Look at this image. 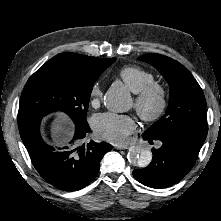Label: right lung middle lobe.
Segmentation results:
<instances>
[{"mask_svg":"<svg viewBox=\"0 0 221 221\" xmlns=\"http://www.w3.org/2000/svg\"><path fill=\"white\" fill-rule=\"evenodd\" d=\"M116 58H101L86 75L59 71L54 65L44 64L27 81L20 98L18 125L41 120L45 115L62 111L76 125H85L90 94L94 82Z\"/></svg>","mask_w":221,"mask_h":221,"instance_id":"obj_1","label":"right lung middle lobe"}]
</instances>
